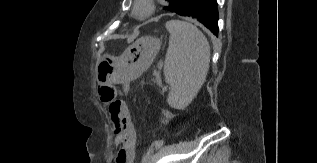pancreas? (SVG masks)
<instances>
[{"label": "pancreas", "instance_id": "pancreas-1", "mask_svg": "<svg viewBox=\"0 0 317 163\" xmlns=\"http://www.w3.org/2000/svg\"><path fill=\"white\" fill-rule=\"evenodd\" d=\"M155 76L157 78V80L159 79V71H155Z\"/></svg>", "mask_w": 317, "mask_h": 163}]
</instances>
